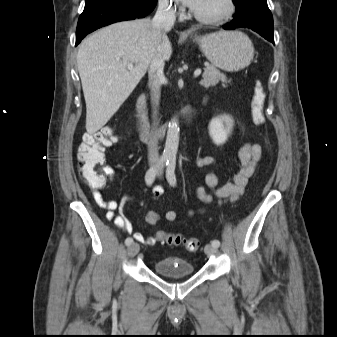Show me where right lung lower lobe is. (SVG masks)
I'll use <instances>...</instances> for the list:
<instances>
[{"instance_id":"98d812e1","label":"right lung lower lobe","mask_w":337,"mask_h":337,"mask_svg":"<svg viewBox=\"0 0 337 337\" xmlns=\"http://www.w3.org/2000/svg\"><path fill=\"white\" fill-rule=\"evenodd\" d=\"M157 0H85L77 30L76 45L89 33L103 26L143 18L156 6Z\"/></svg>"}]
</instances>
